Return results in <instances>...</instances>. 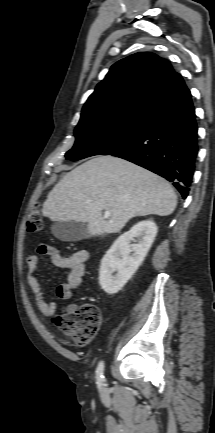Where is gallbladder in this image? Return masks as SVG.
<instances>
[{
    "label": "gallbladder",
    "instance_id": "1",
    "mask_svg": "<svg viewBox=\"0 0 215 433\" xmlns=\"http://www.w3.org/2000/svg\"><path fill=\"white\" fill-rule=\"evenodd\" d=\"M51 232L63 242L79 241L89 236L87 225L76 221L55 222Z\"/></svg>",
    "mask_w": 215,
    "mask_h": 433
}]
</instances>
